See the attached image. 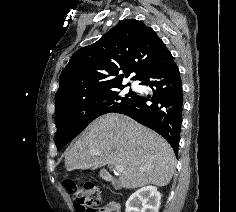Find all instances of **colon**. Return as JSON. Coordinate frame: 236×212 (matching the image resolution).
I'll return each instance as SVG.
<instances>
[{
  "label": "colon",
  "mask_w": 236,
  "mask_h": 212,
  "mask_svg": "<svg viewBox=\"0 0 236 212\" xmlns=\"http://www.w3.org/2000/svg\"><path fill=\"white\" fill-rule=\"evenodd\" d=\"M67 190L73 195L78 212H102L100 187L87 180H67Z\"/></svg>",
  "instance_id": "obj_1"
}]
</instances>
